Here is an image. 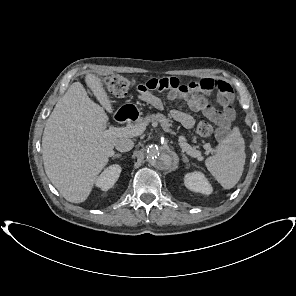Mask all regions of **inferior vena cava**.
Returning a JSON list of instances; mask_svg holds the SVG:
<instances>
[{"label": "inferior vena cava", "instance_id": "inferior-vena-cava-1", "mask_svg": "<svg viewBox=\"0 0 296 296\" xmlns=\"http://www.w3.org/2000/svg\"><path fill=\"white\" fill-rule=\"evenodd\" d=\"M134 147V142L128 138H120L115 143V148L120 152L130 151Z\"/></svg>", "mask_w": 296, "mask_h": 296}]
</instances>
